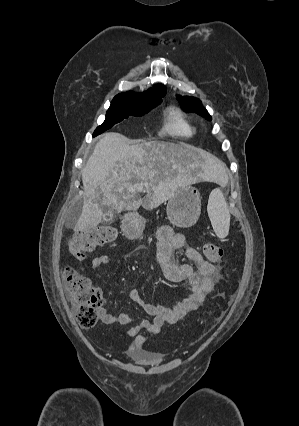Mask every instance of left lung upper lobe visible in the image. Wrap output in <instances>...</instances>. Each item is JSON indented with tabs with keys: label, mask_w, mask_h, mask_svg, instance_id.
Instances as JSON below:
<instances>
[{
	"label": "left lung upper lobe",
	"mask_w": 299,
	"mask_h": 426,
	"mask_svg": "<svg viewBox=\"0 0 299 426\" xmlns=\"http://www.w3.org/2000/svg\"><path fill=\"white\" fill-rule=\"evenodd\" d=\"M177 98L180 101V104L188 111H194L199 115H202L206 119L211 120V116L209 115L207 110L202 106L201 101L199 99L188 96H178Z\"/></svg>",
	"instance_id": "5c2ea615"
}]
</instances>
